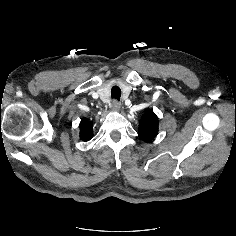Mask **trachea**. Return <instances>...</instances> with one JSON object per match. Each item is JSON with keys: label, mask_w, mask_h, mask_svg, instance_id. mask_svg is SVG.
Here are the masks:
<instances>
[{"label": "trachea", "mask_w": 236, "mask_h": 236, "mask_svg": "<svg viewBox=\"0 0 236 236\" xmlns=\"http://www.w3.org/2000/svg\"><path fill=\"white\" fill-rule=\"evenodd\" d=\"M111 96L112 98L116 99V100H120L121 97V89L118 86H113L111 89Z\"/></svg>", "instance_id": "trachea-1"}]
</instances>
